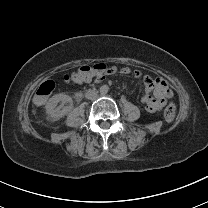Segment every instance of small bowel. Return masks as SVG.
Returning a JSON list of instances; mask_svg holds the SVG:
<instances>
[{
	"label": "small bowel",
	"mask_w": 208,
	"mask_h": 208,
	"mask_svg": "<svg viewBox=\"0 0 208 208\" xmlns=\"http://www.w3.org/2000/svg\"><path fill=\"white\" fill-rule=\"evenodd\" d=\"M115 71L116 70L114 69L108 70L107 72L100 70L98 79L95 80L97 82L104 81L107 77H111L113 75V72ZM119 73L122 75H128L131 73V69L128 67H123L119 69ZM133 75L135 78L143 77V82L148 93L142 97V103L144 104L148 112L154 113L161 110L165 105L166 100L170 99L173 96L172 90L169 88L167 82L164 79L153 78L148 75L143 76L140 70H134ZM90 80L88 79L71 80L69 82V85L71 87H81L82 85L88 86L90 84Z\"/></svg>",
	"instance_id": "small-bowel-1"
}]
</instances>
